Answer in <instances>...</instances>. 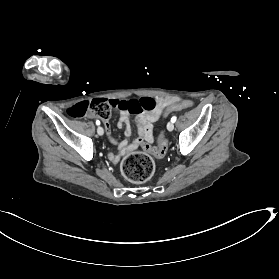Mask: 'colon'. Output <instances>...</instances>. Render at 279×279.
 Listing matches in <instances>:
<instances>
[{
  "label": "colon",
  "instance_id": "5ec220e1",
  "mask_svg": "<svg viewBox=\"0 0 279 279\" xmlns=\"http://www.w3.org/2000/svg\"><path fill=\"white\" fill-rule=\"evenodd\" d=\"M193 103L189 100L171 104L166 113L189 109ZM156 107V100L151 97H141L129 100L93 99L90 102H81L68 109L71 117L79 118L93 115L101 119H108L111 111L118 109L131 114H139L143 111H152ZM168 142L163 133L156 138V146L146 147L145 151H134L124 157L121 163V171L126 179L133 183H143L149 180L155 170L153 158L165 156Z\"/></svg>",
  "mask_w": 279,
  "mask_h": 279
}]
</instances>
